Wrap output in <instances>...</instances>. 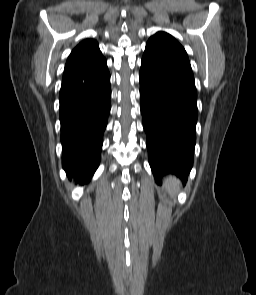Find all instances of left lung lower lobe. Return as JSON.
Returning <instances> with one entry per match:
<instances>
[{
	"label": "left lung lower lobe",
	"instance_id": "0a47b994",
	"mask_svg": "<svg viewBox=\"0 0 256 295\" xmlns=\"http://www.w3.org/2000/svg\"><path fill=\"white\" fill-rule=\"evenodd\" d=\"M140 109L149 164L158 183L167 173L185 182L193 166L198 117L195 84L142 64Z\"/></svg>",
	"mask_w": 256,
	"mask_h": 295
}]
</instances>
